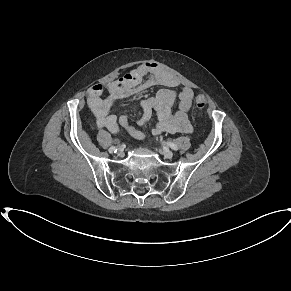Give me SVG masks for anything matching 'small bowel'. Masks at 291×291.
Listing matches in <instances>:
<instances>
[{"mask_svg": "<svg viewBox=\"0 0 291 291\" xmlns=\"http://www.w3.org/2000/svg\"><path fill=\"white\" fill-rule=\"evenodd\" d=\"M164 85L156 96L143 99L140 102L142 116L138 120L139 125H144L151 117L152 111L157 112L158 120L153 125L152 134L176 133L192 131L188 120V112L192 104L193 91L189 87H183L178 93L172 88L179 85L175 76L156 63H145L128 72L116 81L108 83L105 87L101 84L93 85L88 90V106L94 116L98 127L107 128L112 133L119 129V125L131 136L143 140L147 135L133 127L128 118L122 115L117 123V117L111 113L115 102L132 98L142 89ZM104 88L109 93L107 99H102ZM178 102L177 111L172 108Z\"/></svg>", "mask_w": 291, "mask_h": 291, "instance_id": "c3829d8e", "label": "small bowel"}]
</instances>
